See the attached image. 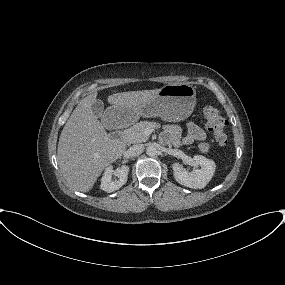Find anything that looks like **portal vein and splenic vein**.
I'll use <instances>...</instances> for the list:
<instances>
[{
  "label": "portal vein and splenic vein",
  "mask_w": 285,
  "mask_h": 285,
  "mask_svg": "<svg viewBox=\"0 0 285 285\" xmlns=\"http://www.w3.org/2000/svg\"><path fill=\"white\" fill-rule=\"evenodd\" d=\"M151 132H152V129H147V130H146V133H147V134H150Z\"/></svg>",
  "instance_id": "obj_1"
}]
</instances>
